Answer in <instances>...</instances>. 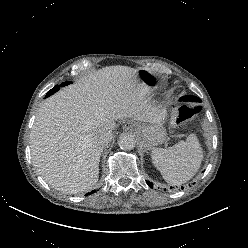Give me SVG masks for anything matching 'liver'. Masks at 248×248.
I'll list each match as a JSON object with an SVG mask.
<instances>
[{"mask_svg":"<svg viewBox=\"0 0 248 248\" xmlns=\"http://www.w3.org/2000/svg\"><path fill=\"white\" fill-rule=\"evenodd\" d=\"M146 93L138 70L118 65L91 73L49 97L30 133L32 161L43 179L69 194L91 190L107 145L96 143L95 135L112 131L118 120H146Z\"/></svg>","mask_w":248,"mask_h":248,"instance_id":"1","label":"liver"}]
</instances>
